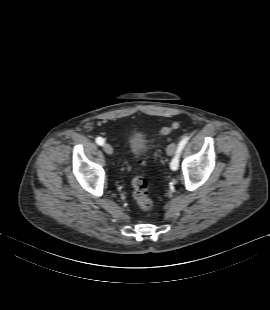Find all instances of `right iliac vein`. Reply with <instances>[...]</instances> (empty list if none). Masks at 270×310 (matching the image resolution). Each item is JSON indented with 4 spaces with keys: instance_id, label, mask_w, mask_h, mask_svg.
Listing matches in <instances>:
<instances>
[{
    "instance_id": "63e3f726",
    "label": "right iliac vein",
    "mask_w": 270,
    "mask_h": 310,
    "mask_svg": "<svg viewBox=\"0 0 270 310\" xmlns=\"http://www.w3.org/2000/svg\"><path fill=\"white\" fill-rule=\"evenodd\" d=\"M103 150H104V152L107 153L108 155L113 154V148H112V146H111L110 144H108V143H105V144L103 145Z\"/></svg>"
}]
</instances>
